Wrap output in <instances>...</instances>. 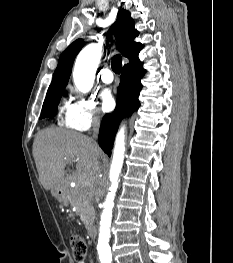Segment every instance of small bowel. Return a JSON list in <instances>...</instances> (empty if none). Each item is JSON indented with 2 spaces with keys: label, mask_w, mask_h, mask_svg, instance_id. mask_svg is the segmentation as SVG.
<instances>
[{
  "label": "small bowel",
  "mask_w": 233,
  "mask_h": 263,
  "mask_svg": "<svg viewBox=\"0 0 233 263\" xmlns=\"http://www.w3.org/2000/svg\"><path fill=\"white\" fill-rule=\"evenodd\" d=\"M78 263H87V261L82 260V261H79Z\"/></svg>",
  "instance_id": "obj_1"
}]
</instances>
